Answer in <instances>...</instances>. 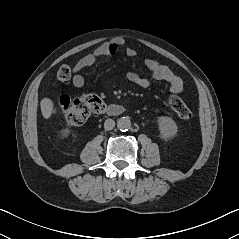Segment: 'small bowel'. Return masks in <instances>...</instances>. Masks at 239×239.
I'll return each mask as SVG.
<instances>
[{
    "instance_id": "small-bowel-1",
    "label": "small bowel",
    "mask_w": 239,
    "mask_h": 239,
    "mask_svg": "<svg viewBox=\"0 0 239 239\" xmlns=\"http://www.w3.org/2000/svg\"><path fill=\"white\" fill-rule=\"evenodd\" d=\"M123 44L124 41L121 38H116L109 43L98 46L91 53L85 55L80 60H78L73 67V72L76 73L72 79L73 85L76 88H82L85 84V79L82 75L77 73L84 68L92 66L101 56H115ZM126 54L129 57H135L137 55V52L133 48H127ZM145 65L151 72L152 77L155 80L164 81L169 84L170 91L173 94H179L183 91L182 79L178 75L173 73L169 68L160 64L157 60L153 58L145 59ZM128 79L142 88H146L149 86L148 79L141 77L136 72L128 73Z\"/></svg>"
}]
</instances>
